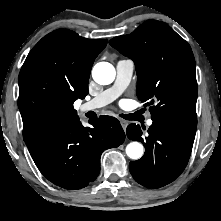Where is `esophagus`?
Listing matches in <instances>:
<instances>
[{
	"mask_svg": "<svg viewBox=\"0 0 221 221\" xmlns=\"http://www.w3.org/2000/svg\"><path fill=\"white\" fill-rule=\"evenodd\" d=\"M120 122H121V125H122L123 129L126 130L128 122L125 121V120H120Z\"/></svg>",
	"mask_w": 221,
	"mask_h": 221,
	"instance_id": "34e87169",
	"label": "esophagus"
}]
</instances>
